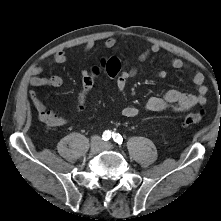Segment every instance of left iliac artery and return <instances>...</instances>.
Returning a JSON list of instances; mask_svg holds the SVG:
<instances>
[{
  "mask_svg": "<svg viewBox=\"0 0 221 221\" xmlns=\"http://www.w3.org/2000/svg\"><path fill=\"white\" fill-rule=\"evenodd\" d=\"M112 138L116 143L122 144L123 138L119 133H112Z\"/></svg>",
  "mask_w": 221,
  "mask_h": 221,
  "instance_id": "1",
  "label": "left iliac artery"
}]
</instances>
